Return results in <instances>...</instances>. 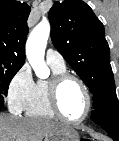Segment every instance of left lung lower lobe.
<instances>
[{"mask_svg": "<svg viewBox=\"0 0 119 141\" xmlns=\"http://www.w3.org/2000/svg\"><path fill=\"white\" fill-rule=\"evenodd\" d=\"M91 119L113 138L119 141V102L112 98L92 112Z\"/></svg>", "mask_w": 119, "mask_h": 141, "instance_id": "0a47b994", "label": "left lung lower lobe"}]
</instances>
